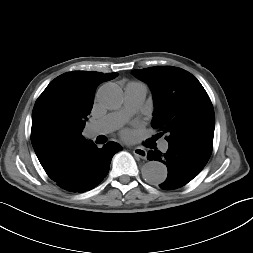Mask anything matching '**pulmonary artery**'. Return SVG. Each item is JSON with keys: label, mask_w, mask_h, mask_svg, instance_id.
<instances>
[{"label": "pulmonary artery", "mask_w": 253, "mask_h": 253, "mask_svg": "<svg viewBox=\"0 0 253 253\" xmlns=\"http://www.w3.org/2000/svg\"><path fill=\"white\" fill-rule=\"evenodd\" d=\"M147 87L143 83L130 82L125 87V100L121 110L110 113L103 118L89 124L86 136L89 138L105 135L120 126L129 116L137 112L146 97ZM169 144L166 140L160 143V150L166 152Z\"/></svg>", "instance_id": "e3ab8cb5"}]
</instances>
